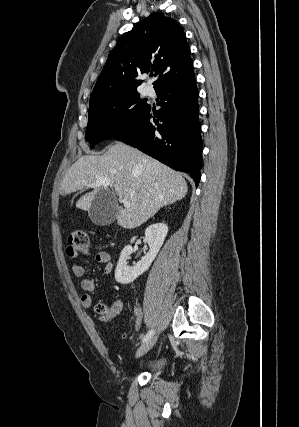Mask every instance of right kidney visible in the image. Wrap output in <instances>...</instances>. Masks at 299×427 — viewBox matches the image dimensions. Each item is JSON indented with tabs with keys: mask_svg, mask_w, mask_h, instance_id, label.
<instances>
[{
	"mask_svg": "<svg viewBox=\"0 0 299 427\" xmlns=\"http://www.w3.org/2000/svg\"><path fill=\"white\" fill-rule=\"evenodd\" d=\"M167 233L168 226L164 223H155L150 225L145 230V240L148 243L150 250L133 267H129L127 265V260L133 252V248L131 245L125 246L117 263L115 280L121 284H129L147 271L163 245ZM135 239L136 237H133L131 239V243H133Z\"/></svg>",
	"mask_w": 299,
	"mask_h": 427,
	"instance_id": "ca27d5eb",
	"label": "right kidney"
}]
</instances>
